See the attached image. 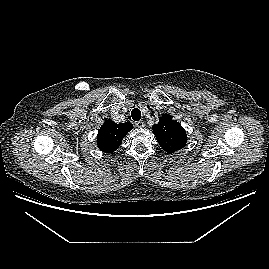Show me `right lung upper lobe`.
Segmentation results:
<instances>
[{"label": "right lung upper lobe", "mask_w": 269, "mask_h": 269, "mask_svg": "<svg viewBox=\"0 0 269 269\" xmlns=\"http://www.w3.org/2000/svg\"><path fill=\"white\" fill-rule=\"evenodd\" d=\"M131 123H114L110 119L104 122L97 135L98 148L106 153H112L121 145L125 135L132 130Z\"/></svg>", "instance_id": "1"}]
</instances>
